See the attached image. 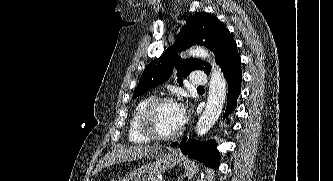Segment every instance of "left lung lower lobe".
<instances>
[{
  "mask_svg": "<svg viewBox=\"0 0 333 181\" xmlns=\"http://www.w3.org/2000/svg\"><path fill=\"white\" fill-rule=\"evenodd\" d=\"M240 65V56L237 46H235L220 64L221 70L228 82L227 108L224 118L235 109L236 100L241 91L242 71ZM171 146L176 147L177 142L172 143ZM180 149L190 158L202 161L214 168H217L219 165L220 155L213 140L202 142L184 138L180 143Z\"/></svg>",
  "mask_w": 333,
  "mask_h": 181,
  "instance_id": "left-lung-lower-lobe-1",
  "label": "left lung lower lobe"
}]
</instances>
